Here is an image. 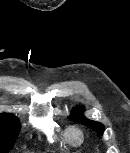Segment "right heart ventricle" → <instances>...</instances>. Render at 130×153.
<instances>
[{
    "label": "right heart ventricle",
    "mask_w": 130,
    "mask_h": 153,
    "mask_svg": "<svg viewBox=\"0 0 130 153\" xmlns=\"http://www.w3.org/2000/svg\"><path fill=\"white\" fill-rule=\"evenodd\" d=\"M64 139H65V141H67V142H69L70 143V141H69V139H68V136H67V133H64Z\"/></svg>",
    "instance_id": "e07e8e85"
}]
</instances>
